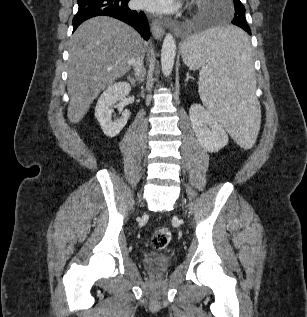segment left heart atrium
I'll return each mask as SVG.
<instances>
[{"label":"left heart atrium","instance_id":"obj_1","mask_svg":"<svg viewBox=\"0 0 307 317\" xmlns=\"http://www.w3.org/2000/svg\"><path fill=\"white\" fill-rule=\"evenodd\" d=\"M141 7L156 13L172 12L178 7L176 0H138Z\"/></svg>","mask_w":307,"mask_h":317}]
</instances>
